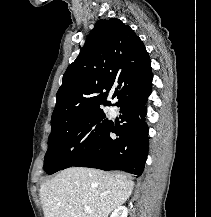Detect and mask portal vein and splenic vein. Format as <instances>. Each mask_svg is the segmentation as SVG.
<instances>
[{
    "mask_svg": "<svg viewBox=\"0 0 211 217\" xmlns=\"http://www.w3.org/2000/svg\"><path fill=\"white\" fill-rule=\"evenodd\" d=\"M84 211L88 212V213H91V209L89 207H87V206L84 207Z\"/></svg>",
    "mask_w": 211,
    "mask_h": 217,
    "instance_id": "obj_1",
    "label": "portal vein and splenic vein"
}]
</instances>
